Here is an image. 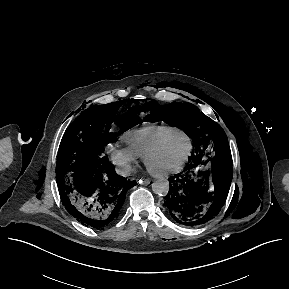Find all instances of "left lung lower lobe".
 I'll use <instances>...</instances> for the list:
<instances>
[{
    "label": "left lung lower lobe",
    "instance_id": "obj_1",
    "mask_svg": "<svg viewBox=\"0 0 289 289\" xmlns=\"http://www.w3.org/2000/svg\"><path fill=\"white\" fill-rule=\"evenodd\" d=\"M232 176L231 166L219 168L208 160L191 157L183 172L170 177L167 212L185 226L210 221L226 201Z\"/></svg>",
    "mask_w": 289,
    "mask_h": 289
}]
</instances>
